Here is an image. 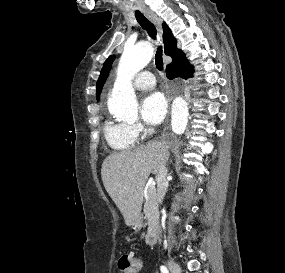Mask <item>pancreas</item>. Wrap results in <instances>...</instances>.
Returning a JSON list of instances; mask_svg holds the SVG:
<instances>
[{
    "label": "pancreas",
    "mask_w": 285,
    "mask_h": 273,
    "mask_svg": "<svg viewBox=\"0 0 285 273\" xmlns=\"http://www.w3.org/2000/svg\"><path fill=\"white\" fill-rule=\"evenodd\" d=\"M143 212L145 217L151 219L157 213L156 193L155 189L150 188L147 191V199L144 204Z\"/></svg>",
    "instance_id": "obj_1"
}]
</instances>
